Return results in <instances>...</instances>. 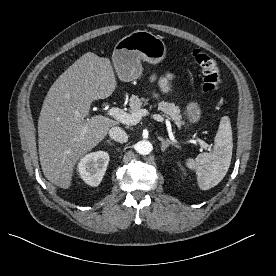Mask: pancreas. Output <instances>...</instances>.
Returning <instances> with one entry per match:
<instances>
[{
    "instance_id": "1",
    "label": "pancreas",
    "mask_w": 276,
    "mask_h": 276,
    "mask_svg": "<svg viewBox=\"0 0 276 276\" xmlns=\"http://www.w3.org/2000/svg\"><path fill=\"white\" fill-rule=\"evenodd\" d=\"M149 98L132 95L129 99V105L132 112L139 111L143 106L148 105ZM158 110L163 112L169 119L173 120L177 126H181L184 122L181 120L179 107L174 103L166 101L158 102Z\"/></svg>"
}]
</instances>
